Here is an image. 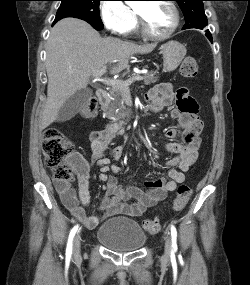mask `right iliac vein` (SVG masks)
Here are the masks:
<instances>
[{
	"instance_id": "1",
	"label": "right iliac vein",
	"mask_w": 250,
	"mask_h": 285,
	"mask_svg": "<svg viewBox=\"0 0 250 285\" xmlns=\"http://www.w3.org/2000/svg\"><path fill=\"white\" fill-rule=\"evenodd\" d=\"M81 250V236L77 234L73 240V254L74 256H78Z\"/></svg>"
}]
</instances>
